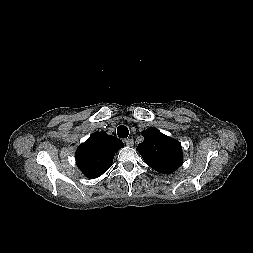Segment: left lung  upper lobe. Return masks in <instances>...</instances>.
I'll list each match as a JSON object with an SVG mask.
<instances>
[{"label": "left lung upper lobe", "mask_w": 253, "mask_h": 253, "mask_svg": "<svg viewBox=\"0 0 253 253\" xmlns=\"http://www.w3.org/2000/svg\"><path fill=\"white\" fill-rule=\"evenodd\" d=\"M144 140L138 144V151L145 163L162 174L174 172L182 164L180 142L162 134L156 128L142 132Z\"/></svg>", "instance_id": "left-lung-upper-lobe-1"}]
</instances>
